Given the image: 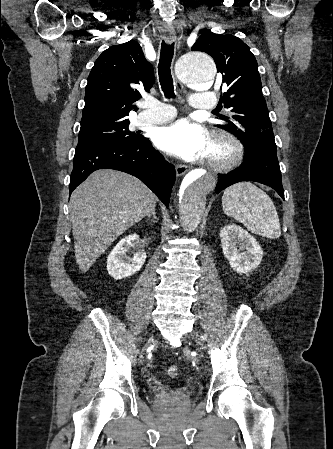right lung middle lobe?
<instances>
[{
  "mask_svg": "<svg viewBox=\"0 0 333 449\" xmlns=\"http://www.w3.org/2000/svg\"><path fill=\"white\" fill-rule=\"evenodd\" d=\"M129 120L103 122L80 128L78 144L91 142H123L137 144L144 137L128 129Z\"/></svg>",
  "mask_w": 333,
  "mask_h": 449,
  "instance_id": "dd1d6c3e",
  "label": "right lung middle lobe"
}]
</instances>
